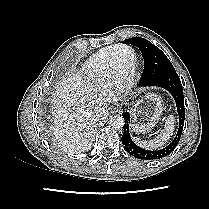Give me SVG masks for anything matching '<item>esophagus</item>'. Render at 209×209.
Listing matches in <instances>:
<instances>
[{"label":"esophagus","mask_w":209,"mask_h":209,"mask_svg":"<svg viewBox=\"0 0 209 209\" xmlns=\"http://www.w3.org/2000/svg\"><path fill=\"white\" fill-rule=\"evenodd\" d=\"M118 109H119V106H118L117 104L112 105V110H113L114 112H117Z\"/></svg>","instance_id":"obj_1"}]
</instances>
